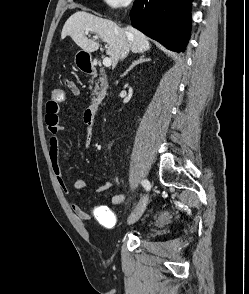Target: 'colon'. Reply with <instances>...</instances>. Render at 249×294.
<instances>
[{
  "label": "colon",
  "mask_w": 249,
  "mask_h": 294,
  "mask_svg": "<svg viewBox=\"0 0 249 294\" xmlns=\"http://www.w3.org/2000/svg\"><path fill=\"white\" fill-rule=\"evenodd\" d=\"M65 100V93L63 89L55 87L51 91L49 103L56 106L62 103Z\"/></svg>",
  "instance_id": "5ec220e1"
}]
</instances>
